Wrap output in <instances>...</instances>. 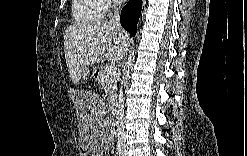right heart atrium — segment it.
I'll return each instance as SVG.
<instances>
[{
  "label": "right heart atrium",
  "mask_w": 247,
  "mask_h": 156,
  "mask_svg": "<svg viewBox=\"0 0 247 156\" xmlns=\"http://www.w3.org/2000/svg\"><path fill=\"white\" fill-rule=\"evenodd\" d=\"M102 4H103V10H104V13H105L106 11H108L112 7V5L114 3L112 1H110V0H106V1H103Z\"/></svg>",
  "instance_id": "d8ad5b80"
}]
</instances>
